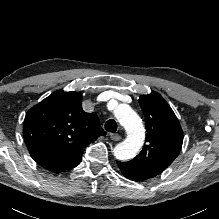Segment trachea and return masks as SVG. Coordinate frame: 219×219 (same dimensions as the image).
<instances>
[{"label": "trachea", "mask_w": 219, "mask_h": 219, "mask_svg": "<svg viewBox=\"0 0 219 219\" xmlns=\"http://www.w3.org/2000/svg\"><path fill=\"white\" fill-rule=\"evenodd\" d=\"M105 129L110 131V132H114L117 130V123L114 119H109L108 121H106L105 123Z\"/></svg>", "instance_id": "3493384b"}]
</instances>
